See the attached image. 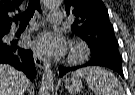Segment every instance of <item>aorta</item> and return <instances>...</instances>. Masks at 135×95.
Returning a JSON list of instances; mask_svg holds the SVG:
<instances>
[{"label":"aorta","mask_w":135,"mask_h":95,"mask_svg":"<svg viewBox=\"0 0 135 95\" xmlns=\"http://www.w3.org/2000/svg\"><path fill=\"white\" fill-rule=\"evenodd\" d=\"M46 7H58L61 0H43ZM39 95H54V74L51 68L46 67L42 75Z\"/></svg>","instance_id":"1"}]
</instances>
